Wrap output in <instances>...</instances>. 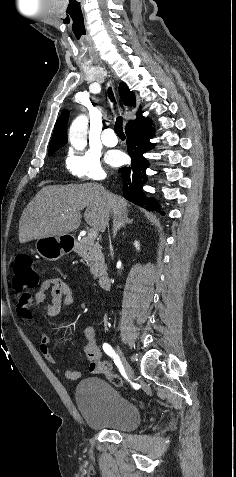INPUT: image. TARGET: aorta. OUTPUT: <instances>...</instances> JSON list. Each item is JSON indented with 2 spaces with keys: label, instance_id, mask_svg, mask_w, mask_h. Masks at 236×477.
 I'll list each match as a JSON object with an SVG mask.
<instances>
[{
  "label": "aorta",
  "instance_id": "762f6f07",
  "mask_svg": "<svg viewBox=\"0 0 236 477\" xmlns=\"http://www.w3.org/2000/svg\"><path fill=\"white\" fill-rule=\"evenodd\" d=\"M88 120L84 116L77 117L70 126L69 140L75 148H83L87 140Z\"/></svg>",
  "mask_w": 236,
  "mask_h": 477
}]
</instances>
